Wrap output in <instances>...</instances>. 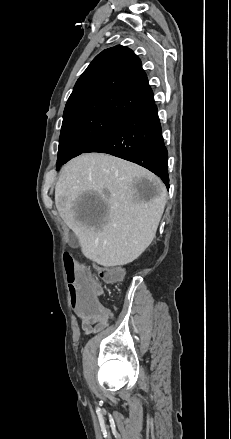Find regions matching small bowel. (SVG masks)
Here are the masks:
<instances>
[{
  "label": "small bowel",
  "mask_w": 231,
  "mask_h": 439,
  "mask_svg": "<svg viewBox=\"0 0 231 439\" xmlns=\"http://www.w3.org/2000/svg\"><path fill=\"white\" fill-rule=\"evenodd\" d=\"M76 315L81 320L84 334H91L101 331L107 325L108 321L113 317V311L105 308V317L97 320H85L84 313H76Z\"/></svg>",
  "instance_id": "small-bowel-1"
}]
</instances>
